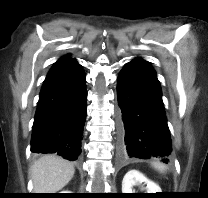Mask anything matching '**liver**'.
Returning a JSON list of instances; mask_svg holds the SVG:
<instances>
[{
	"label": "liver",
	"instance_id": "1",
	"mask_svg": "<svg viewBox=\"0 0 208 198\" xmlns=\"http://www.w3.org/2000/svg\"><path fill=\"white\" fill-rule=\"evenodd\" d=\"M30 173L35 193H56L69 183L75 169L62 158L46 155L34 162Z\"/></svg>",
	"mask_w": 208,
	"mask_h": 198
}]
</instances>
